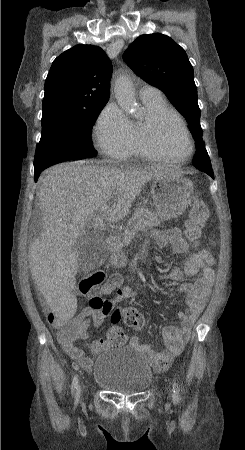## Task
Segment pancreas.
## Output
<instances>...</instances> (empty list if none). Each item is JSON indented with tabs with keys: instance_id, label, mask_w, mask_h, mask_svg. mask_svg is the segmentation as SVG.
Segmentation results:
<instances>
[{
	"instance_id": "obj_1",
	"label": "pancreas",
	"mask_w": 245,
	"mask_h": 450,
	"mask_svg": "<svg viewBox=\"0 0 245 450\" xmlns=\"http://www.w3.org/2000/svg\"><path fill=\"white\" fill-rule=\"evenodd\" d=\"M160 224L157 215L146 207H139L127 223L124 231V243L130 244L139 230L156 227Z\"/></svg>"
}]
</instances>
